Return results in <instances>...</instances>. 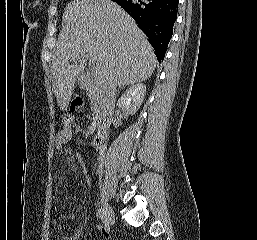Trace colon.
<instances>
[{"label": "colon", "instance_id": "obj_1", "mask_svg": "<svg viewBox=\"0 0 257 240\" xmlns=\"http://www.w3.org/2000/svg\"><path fill=\"white\" fill-rule=\"evenodd\" d=\"M83 105V99L80 95H74L71 103H70V108L75 111V110H79L82 108Z\"/></svg>", "mask_w": 257, "mask_h": 240}]
</instances>
